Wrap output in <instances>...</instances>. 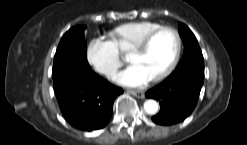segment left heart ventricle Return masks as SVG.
Instances as JSON below:
<instances>
[{"label":"left heart ventricle","instance_id":"left-heart-ventricle-1","mask_svg":"<svg viewBox=\"0 0 247 145\" xmlns=\"http://www.w3.org/2000/svg\"><path fill=\"white\" fill-rule=\"evenodd\" d=\"M175 48L176 39L173 33L163 31L153 38L145 51L130 53L128 60L131 64L139 66L152 78L169 64Z\"/></svg>","mask_w":247,"mask_h":145}]
</instances>
